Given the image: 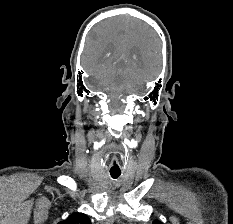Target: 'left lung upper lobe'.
I'll return each mask as SVG.
<instances>
[{
  "mask_svg": "<svg viewBox=\"0 0 233 224\" xmlns=\"http://www.w3.org/2000/svg\"><path fill=\"white\" fill-rule=\"evenodd\" d=\"M153 224H163V223L160 222V221H158V220H155V221L153 222Z\"/></svg>",
  "mask_w": 233,
  "mask_h": 224,
  "instance_id": "left-lung-upper-lobe-1",
  "label": "left lung upper lobe"
}]
</instances>
